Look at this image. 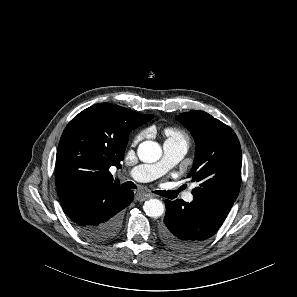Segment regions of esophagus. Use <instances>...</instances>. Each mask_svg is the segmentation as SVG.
<instances>
[{
    "label": "esophagus",
    "instance_id": "obj_1",
    "mask_svg": "<svg viewBox=\"0 0 297 297\" xmlns=\"http://www.w3.org/2000/svg\"><path fill=\"white\" fill-rule=\"evenodd\" d=\"M153 195L149 194V193H142V192H138L135 196L136 200L139 202H143L149 198H152Z\"/></svg>",
    "mask_w": 297,
    "mask_h": 297
}]
</instances>
